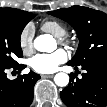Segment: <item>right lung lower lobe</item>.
<instances>
[{
    "label": "right lung lower lobe",
    "instance_id": "obj_1",
    "mask_svg": "<svg viewBox=\"0 0 107 107\" xmlns=\"http://www.w3.org/2000/svg\"><path fill=\"white\" fill-rule=\"evenodd\" d=\"M22 70L25 65L0 66V107H29L33 100L34 84L40 75L34 72L19 76L14 80L6 77V69Z\"/></svg>",
    "mask_w": 107,
    "mask_h": 107
}]
</instances>
